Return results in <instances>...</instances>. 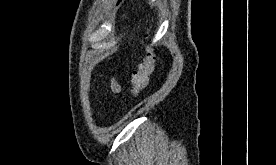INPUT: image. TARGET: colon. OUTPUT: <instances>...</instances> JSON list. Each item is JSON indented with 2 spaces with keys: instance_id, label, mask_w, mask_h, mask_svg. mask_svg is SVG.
Here are the masks:
<instances>
[{
  "instance_id": "5ec220e1",
  "label": "colon",
  "mask_w": 276,
  "mask_h": 165,
  "mask_svg": "<svg viewBox=\"0 0 276 165\" xmlns=\"http://www.w3.org/2000/svg\"><path fill=\"white\" fill-rule=\"evenodd\" d=\"M154 68L155 56L151 49H147L146 53L142 57L141 62L138 64L137 68L133 71L131 76L130 93L133 96H137L147 87Z\"/></svg>"
}]
</instances>
